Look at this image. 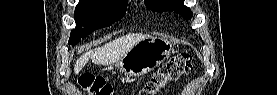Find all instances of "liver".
I'll return each instance as SVG.
<instances>
[{"label":"liver","mask_w":277,"mask_h":95,"mask_svg":"<svg viewBox=\"0 0 277 95\" xmlns=\"http://www.w3.org/2000/svg\"><path fill=\"white\" fill-rule=\"evenodd\" d=\"M150 37L146 34H128L116 38L103 46L89 50L81 55L74 64V73L77 75L82 68L92 60L94 64L107 66L119 61L139 41Z\"/></svg>","instance_id":"obj_1"}]
</instances>
